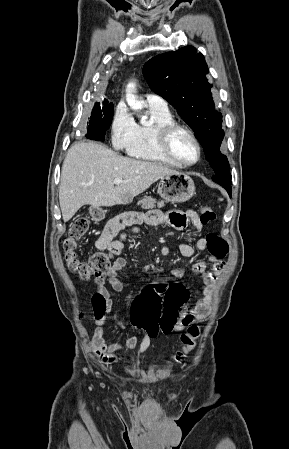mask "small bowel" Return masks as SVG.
<instances>
[{
  "label": "small bowel",
  "mask_w": 289,
  "mask_h": 449,
  "mask_svg": "<svg viewBox=\"0 0 289 449\" xmlns=\"http://www.w3.org/2000/svg\"><path fill=\"white\" fill-rule=\"evenodd\" d=\"M146 223L148 225L168 224L176 229H184L189 226L195 233L200 234L203 223L199 215L194 210H173L167 213L152 210L144 214H134L129 217H121L111 220L105 226L102 234L97 239L95 245L98 249H107L114 255H119L124 247L127 233L123 232L124 227L131 226V232L138 231V225ZM207 249V240L205 237L198 238L196 246L189 243H182L179 246V251L183 257L191 258L195 255L196 250L204 251ZM161 255L169 256L171 249L165 245L160 250ZM210 267L204 261H197L191 265V271L199 275L202 279V293L203 297L199 299L193 308L184 306L181 311L180 321L176 325L175 330L181 331L185 327L198 322H203L207 319L212 302V288L216 282L217 277L224 269L225 263L223 259H218L211 256ZM127 265V261L123 257H117L111 267L105 272L98 275L94 284L97 294L101 295L105 300V309L96 320V328L92 337V347L96 355L105 363H110L117 358L122 350H130L135 348L138 344V354H143L150 346L151 337L144 331L140 332L142 340L139 343V335L129 337L124 344L112 343L106 344L104 340V330L102 326L106 323L109 315L112 312L113 301L107 291L105 284L109 283L111 288L117 292L124 289V282L118 276V272L123 270ZM153 270V266L148 264L144 266V271ZM185 275L183 268H174L171 271V276L175 279H180ZM119 329L124 330L125 326L121 322H116Z\"/></svg>",
  "instance_id": "1"
}]
</instances>
